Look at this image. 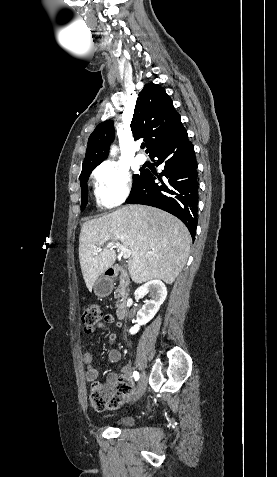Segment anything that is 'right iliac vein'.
Listing matches in <instances>:
<instances>
[{"label": "right iliac vein", "instance_id": "1", "mask_svg": "<svg viewBox=\"0 0 277 477\" xmlns=\"http://www.w3.org/2000/svg\"><path fill=\"white\" fill-rule=\"evenodd\" d=\"M146 385H147V377L145 372H142L139 378L135 396L133 398L134 401L138 400L144 394L146 390Z\"/></svg>", "mask_w": 277, "mask_h": 477}]
</instances>
